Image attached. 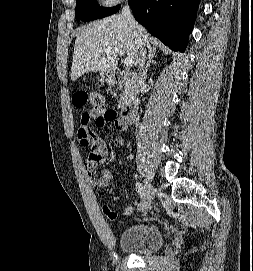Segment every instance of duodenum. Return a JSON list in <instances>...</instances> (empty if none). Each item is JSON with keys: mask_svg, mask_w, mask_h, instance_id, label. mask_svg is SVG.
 Wrapping results in <instances>:
<instances>
[{"mask_svg": "<svg viewBox=\"0 0 253 271\" xmlns=\"http://www.w3.org/2000/svg\"><path fill=\"white\" fill-rule=\"evenodd\" d=\"M136 76L132 72H125L121 70L113 71L111 74V81L115 85H125L134 82ZM138 114V101L130 99L122 108L121 117L126 124L134 122Z\"/></svg>", "mask_w": 253, "mask_h": 271, "instance_id": "1", "label": "duodenum"}]
</instances>
